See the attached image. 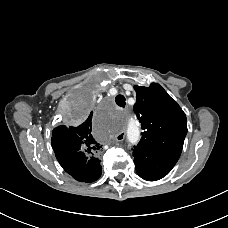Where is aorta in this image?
Returning a JSON list of instances; mask_svg holds the SVG:
<instances>
[{"label":"aorta","mask_w":228,"mask_h":228,"mask_svg":"<svg viewBox=\"0 0 228 228\" xmlns=\"http://www.w3.org/2000/svg\"><path fill=\"white\" fill-rule=\"evenodd\" d=\"M127 137L128 140L135 144L137 140L139 139V129L132 123H129L127 126Z\"/></svg>","instance_id":"obj_1"}]
</instances>
